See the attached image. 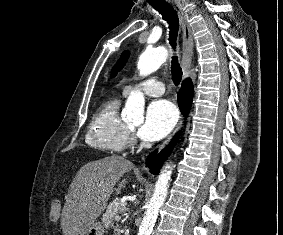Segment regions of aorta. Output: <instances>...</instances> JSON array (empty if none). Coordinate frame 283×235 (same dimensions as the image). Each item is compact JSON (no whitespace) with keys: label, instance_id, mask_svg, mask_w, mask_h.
Segmentation results:
<instances>
[{"label":"aorta","instance_id":"aorta-1","mask_svg":"<svg viewBox=\"0 0 283 235\" xmlns=\"http://www.w3.org/2000/svg\"><path fill=\"white\" fill-rule=\"evenodd\" d=\"M167 58L168 51L164 47L146 50L140 55L137 65L140 75L147 76L155 72L167 60ZM144 104L145 100L143 94L141 92L133 93L126 101L125 108L122 111V118L124 120H132L133 122L143 121ZM171 175L172 167L170 165H166L158 176L154 193L147 205V209L137 235H151L158 217L159 209L166 199Z\"/></svg>","mask_w":283,"mask_h":235}]
</instances>
